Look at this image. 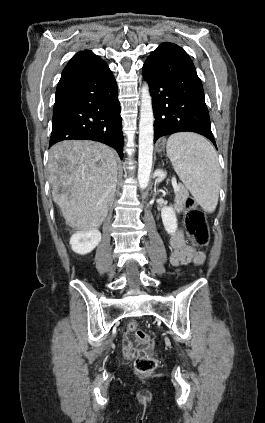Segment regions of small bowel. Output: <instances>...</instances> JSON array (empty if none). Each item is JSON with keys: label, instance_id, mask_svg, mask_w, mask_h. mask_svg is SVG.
Instances as JSON below:
<instances>
[{"label": "small bowel", "instance_id": "1", "mask_svg": "<svg viewBox=\"0 0 265 423\" xmlns=\"http://www.w3.org/2000/svg\"><path fill=\"white\" fill-rule=\"evenodd\" d=\"M170 243L173 248L171 262L174 266H179L189 262H193L194 264L201 266L205 263V254L186 244L182 232H176L171 237ZM122 347L124 356L127 359H131L137 351L133 341L127 334H124L123 336Z\"/></svg>", "mask_w": 265, "mask_h": 423}]
</instances>
